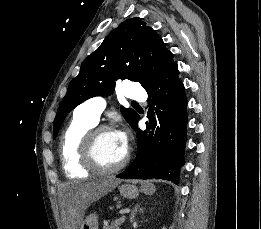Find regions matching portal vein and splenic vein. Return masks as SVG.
I'll return each instance as SVG.
<instances>
[{
    "instance_id": "obj_1",
    "label": "portal vein and splenic vein",
    "mask_w": 261,
    "mask_h": 229,
    "mask_svg": "<svg viewBox=\"0 0 261 229\" xmlns=\"http://www.w3.org/2000/svg\"><path fill=\"white\" fill-rule=\"evenodd\" d=\"M127 222V219L126 218H121L119 221H118V224L119 225H123L124 223Z\"/></svg>"
}]
</instances>
